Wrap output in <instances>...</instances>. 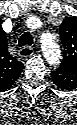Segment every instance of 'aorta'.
<instances>
[{
  "label": "aorta",
  "instance_id": "762f6f07",
  "mask_svg": "<svg viewBox=\"0 0 77 125\" xmlns=\"http://www.w3.org/2000/svg\"><path fill=\"white\" fill-rule=\"evenodd\" d=\"M42 49L44 56L51 65H57L60 62V49L59 46L51 34H45L41 38Z\"/></svg>",
  "mask_w": 77,
  "mask_h": 125
}]
</instances>
